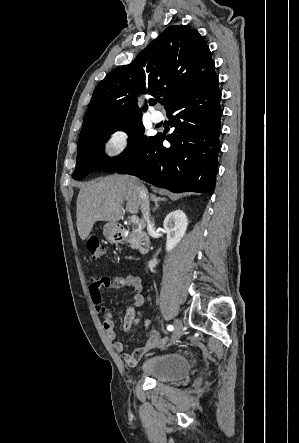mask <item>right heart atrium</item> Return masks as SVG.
Listing matches in <instances>:
<instances>
[{
    "label": "right heart atrium",
    "instance_id": "right-heart-atrium-1",
    "mask_svg": "<svg viewBox=\"0 0 299 443\" xmlns=\"http://www.w3.org/2000/svg\"><path fill=\"white\" fill-rule=\"evenodd\" d=\"M132 143L131 133L123 128L113 130L103 143L104 152L110 157H119L127 152Z\"/></svg>",
    "mask_w": 299,
    "mask_h": 443
}]
</instances>
